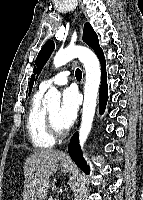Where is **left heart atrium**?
<instances>
[{"mask_svg":"<svg viewBox=\"0 0 143 200\" xmlns=\"http://www.w3.org/2000/svg\"><path fill=\"white\" fill-rule=\"evenodd\" d=\"M79 97L77 91L70 87L63 91L62 104L59 109L58 119L64 129L69 128L77 117Z\"/></svg>","mask_w":143,"mask_h":200,"instance_id":"39dd6f15","label":"left heart atrium"}]
</instances>
